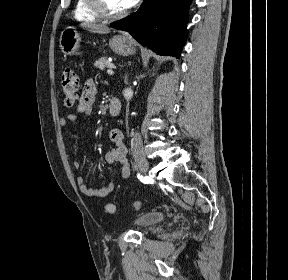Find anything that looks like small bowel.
<instances>
[{
	"label": "small bowel",
	"instance_id": "1",
	"mask_svg": "<svg viewBox=\"0 0 288 280\" xmlns=\"http://www.w3.org/2000/svg\"><path fill=\"white\" fill-rule=\"evenodd\" d=\"M97 94V87L92 79L85 82L82 89L79 101L77 104V112L75 114H68L66 117L60 119V125L67 127L71 123L78 121L79 116H89L92 113V106L95 102ZM109 138L114 146L106 152L105 162L107 164L118 163L121 167V178L126 179L130 174L129 162L127 159V148L123 142V132L118 128L111 129ZM74 167L79 169L81 163L74 162ZM76 183L80 191L90 197L104 198L107 197L115 189V183L109 182L107 185L99 188H92L85 183V179L82 176L76 178Z\"/></svg>",
	"mask_w": 288,
	"mask_h": 280
}]
</instances>
